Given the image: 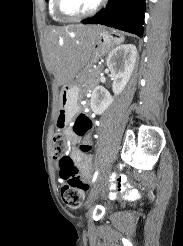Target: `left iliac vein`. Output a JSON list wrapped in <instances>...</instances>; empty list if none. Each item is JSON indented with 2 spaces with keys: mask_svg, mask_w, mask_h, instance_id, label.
<instances>
[{
  "mask_svg": "<svg viewBox=\"0 0 183 246\" xmlns=\"http://www.w3.org/2000/svg\"><path fill=\"white\" fill-rule=\"evenodd\" d=\"M102 181H103V178L101 177L99 179V181L92 188V190L90 192V195H89V198H88V201H87V207L91 206L92 202L94 201V199L98 195V193H99V191L101 189V186H102Z\"/></svg>",
  "mask_w": 183,
  "mask_h": 246,
  "instance_id": "left-iliac-vein-1",
  "label": "left iliac vein"
}]
</instances>
